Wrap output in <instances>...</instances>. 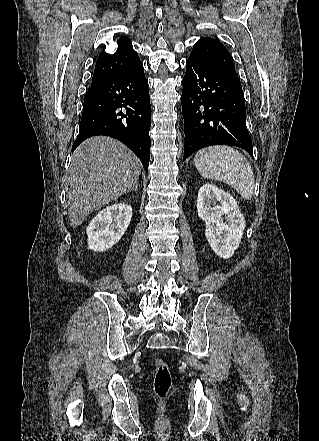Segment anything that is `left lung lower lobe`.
Segmentation results:
<instances>
[{
    "instance_id": "1",
    "label": "left lung lower lobe",
    "mask_w": 319,
    "mask_h": 441,
    "mask_svg": "<svg viewBox=\"0 0 319 441\" xmlns=\"http://www.w3.org/2000/svg\"><path fill=\"white\" fill-rule=\"evenodd\" d=\"M182 83L183 161L201 148L221 144L237 146L252 155L241 83L191 57Z\"/></svg>"
}]
</instances>
